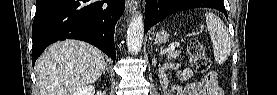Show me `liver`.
I'll return each instance as SVG.
<instances>
[{
    "instance_id": "obj_1",
    "label": "liver",
    "mask_w": 277,
    "mask_h": 95,
    "mask_svg": "<svg viewBox=\"0 0 277 95\" xmlns=\"http://www.w3.org/2000/svg\"><path fill=\"white\" fill-rule=\"evenodd\" d=\"M106 65L103 53L88 43L66 40L52 44L35 64L40 95H74L94 83Z\"/></svg>"
}]
</instances>
